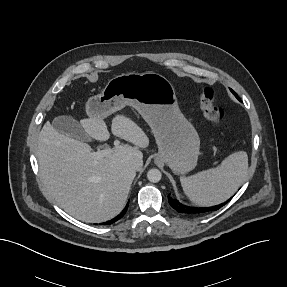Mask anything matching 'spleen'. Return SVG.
<instances>
[{
    "label": "spleen",
    "instance_id": "3e777b00",
    "mask_svg": "<svg viewBox=\"0 0 287 287\" xmlns=\"http://www.w3.org/2000/svg\"><path fill=\"white\" fill-rule=\"evenodd\" d=\"M248 169L244 151L232 153L219 166L193 176L180 177L186 196L199 206H213L229 199L243 183Z\"/></svg>",
    "mask_w": 287,
    "mask_h": 287
}]
</instances>
